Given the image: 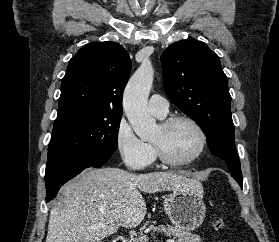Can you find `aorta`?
<instances>
[{
  "instance_id": "aorta-1",
  "label": "aorta",
  "mask_w": 279,
  "mask_h": 242,
  "mask_svg": "<svg viewBox=\"0 0 279 242\" xmlns=\"http://www.w3.org/2000/svg\"><path fill=\"white\" fill-rule=\"evenodd\" d=\"M151 65L142 64L129 80L123 95V109L136 135L149 139L156 131V121L148 113L147 99L153 83Z\"/></svg>"
}]
</instances>
